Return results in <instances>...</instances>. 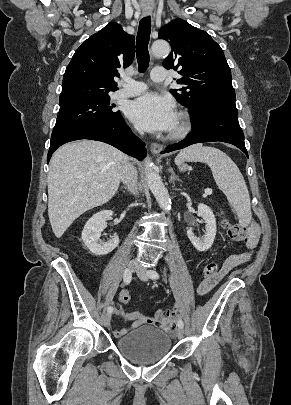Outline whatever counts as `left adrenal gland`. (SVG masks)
<instances>
[{
    "label": "left adrenal gland",
    "instance_id": "left-adrenal-gland-1",
    "mask_svg": "<svg viewBox=\"0 0 291 405\" xmlns=\"http://www.w3.org/2000/svg\"><path fill=\"white\" fill-rule=\"evenodd\" d=\"M168 171L171 173V176H170V179H169V182H170V183H172V182H174V181H180V182H181V180L179 179V177L175 175V172H174L173 168L170 167V168L168 169Z\"/></svg>",
    "mask_w": 291,
    "mask_h": 405
}]
</instances>
